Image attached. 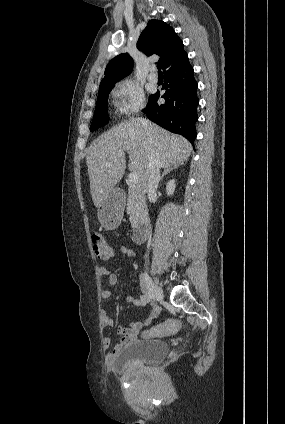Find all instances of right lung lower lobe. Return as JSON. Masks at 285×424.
<instances>
[{"label":"right lung lower lobe","mask_w":285,"mask_h":424,"mask_svg":"<svg viewBox=\"0 0 285 424\" xmlns=\"http://www.w3.org/2000/svg\"><path fill=\"white\" fill-rule=\"evenodd\" d=\"M165 89L161 96L165 99L163 104H158L160 92L157 91L149 98L144 110L146 116L161 127L180 134L192 144L196 139L195 123L198 119L196 108L198 106L197 87L194 79L193 67L188 57L175 67L164 73Z\"/></svg>","instance_id":"1"}]
</instances>
